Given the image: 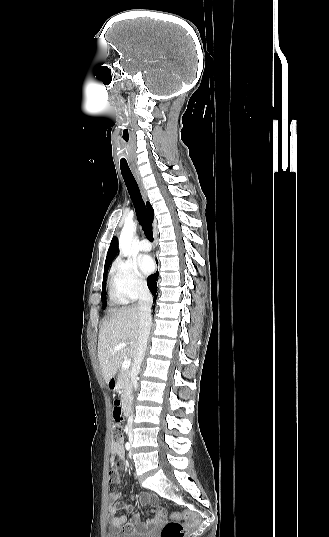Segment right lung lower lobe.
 <instances>
[{
	"label": "right lung lower lobe",
	"instance_id": "98d812e1",
	"mask_svg": "<svg viewBox=\"0 0 329 537\" xmlns=\"http://www.w3.org/2000/svg\"><path fill=\"white\" fill-rule=\"evenodd\" d=\"M157 278H158V272H156L153 275H150L147 281L148 288L151 291L154 298H156V292H157Z\"/></svg>",
	"mask_w": 329,
	"mask_h": 537
}]
</instances>
